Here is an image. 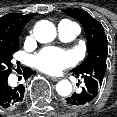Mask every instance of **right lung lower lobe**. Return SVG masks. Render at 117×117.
<instances>
[{
    "instance_id": "right-lung-lower-lobe-1",
    "label": "right lung lower lobe",
    "mask_w": 117,
    "mask_h": 117,
    "mask_svg": "<svg viewBox=\"0 0 117 117\" xmlns=\"http://www.w3.org/2000/svg\"><path fill=\"white\" fill-rule=\"evenodd\" d=\"M32 73H34V71L25 69V78L30 76ZM9 74L0 75V108L11 110L22 104L25 87L22 84L17 87L9 86L7 83Z\"/></svg>"
}]
</instances>
